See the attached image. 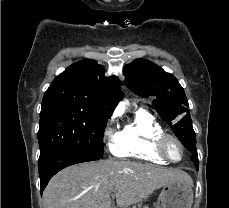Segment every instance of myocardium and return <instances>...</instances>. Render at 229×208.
I'll return each instance as SVG.
<instances>
[{
    "instance_id": "obj_1",
    "label": "myocardium",
    "mask_w": 229,
    "mask_h": 208,
    "mask_svg": "<svg viewBox=\"0 0 229 208\" xmlns=\"http://www.w3.org/2000/svg\"><path fill=\"white\" fill-rule=\"evenodd\" d=\"M174 141L176 142L182 150V155L179 159H175L172 155L173 149L170 148V143ZM158 148L154 149L155 153H161V158H167L172 163L181 162L186 154V146L183 141L176 135L170 133H164L160 138V143L157 144Z\"/></svg>"
}]
</instances>
